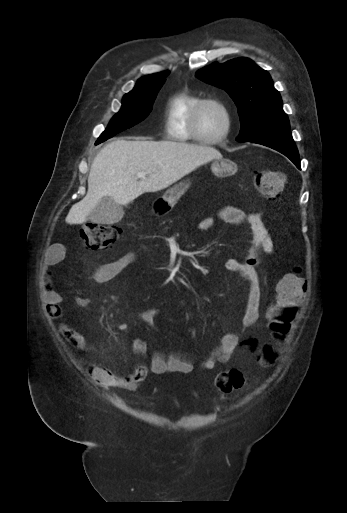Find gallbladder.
Masks as SVG:
<instances>
[{
    "label": "gallbladder",
    "mask_w": 347,
    "mask_h": 513,
    "mask_svg": "<svg viewBox=\"0 0 347 513\" xmlns=\"http://www.w3.org/2000/svg\"><path fill=\"white\" fill-rule=\"evenodd\" d=\"M124 215L123 206L114 202L110 197H104L89 214L88 219L97 224H114Z\"/></svg>",
    "instance_id": "gallbladder-1"
}]
</instances>
